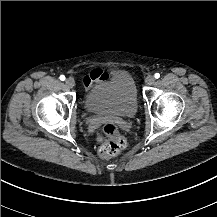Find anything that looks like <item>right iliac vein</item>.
<instances>
[{
    "instance_id": "obj_1",
    "label": "right iliac vein",
    "mask_w": 217,
    "mask_h": 217,
    "mask_svg": "<svg viewBox=\"0 0 217 217\" xmlns=\"http://www.w3.org/2000/svg\"><path fill=\"white\" fill-rule=\"evenodd\" d=\"M65 85L69 88H73L75 86V80L73 78H67L65 80Z\"/></svg>"
}]
</instances>
